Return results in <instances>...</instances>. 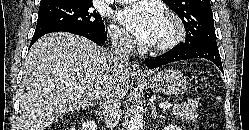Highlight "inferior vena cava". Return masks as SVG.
I'll list each match as a JSON object with an SVG mask.
<instances>
[{
  "label": "inferior vena cava",
  "mask_w": 249,
  "mask_h": 130,
  "mask_svg": "<svg viewBox=\"0 0 249 130\" xmlns=\"http://www.w3.org/2000/svg\"><path fill=\"white\" fill-rule=\"evenodd\" d=\"M112 46L109 53L110 63L118 72L126 69L129 62V55L135 47V43L128 36L114 32L111 34ZM100 108L105 120L106 126H115L120 119L121 105L120 97L117 92L109 90L106 92L101 101Z\"/></svg>",
  "instance_id": "602c4592"
}]
</instances>
